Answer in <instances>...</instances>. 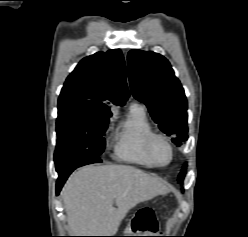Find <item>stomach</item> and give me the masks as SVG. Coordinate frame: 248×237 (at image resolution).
I'll return each mask as SVG.
<instances>
[{
    "label": "stomach",
    "instance_id": "1",
    "mask_svg": "<svg viewBox=\"0 0 248 237\" xmlns=\"http://www.w3.org/2000/svg\"><path fill=\"white\" fill-rule=\"evenodd\" d=\"M129 229H130V228H129ZM129 233H130V235H128V236H136V234H135V233H137V232L132 231V229H131V231H130Z\"/></svg>",
    "mask_w": 248,
    "mask_h": 237
}]
</instances>
